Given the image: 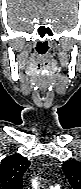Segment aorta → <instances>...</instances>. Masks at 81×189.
I'll return each instance as SVG.
<instances>
[{
	"mask_svg": "<svg viewBox=\"0 0 81 189\" xmlns=\"http://www.w3.org/2000/svg\"><path fill=\"white\" fill-rule=\"evenodd\" d=\"M32 184H33L34 189H38L36 179L33 180Z\"/></svg>",
	"mask_w": 81,
	"mask_h": 189,
	"instance_id": "aorta-1",
	"label": "aorta"
}]
</instances>
